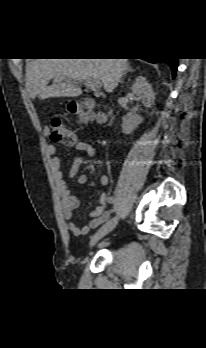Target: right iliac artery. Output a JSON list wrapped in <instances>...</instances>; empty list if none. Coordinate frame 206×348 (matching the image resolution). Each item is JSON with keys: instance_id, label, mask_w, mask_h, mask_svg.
<instances>
[{"instance_id": "82829eb1", "label": "right iliac artery", "mask_w": 206, "mask_h": 348, "mask_svg": "<svg viewBox=\"0 0 206 348\" xmlns=\"http://www.w3.org/2000/svg\"><path fill=\"white\" fill-rule=\"evenodd\" d=\"M114 200V197L112 195L106 196V203L112 202Z\"/></svg>"}]
</instances>
